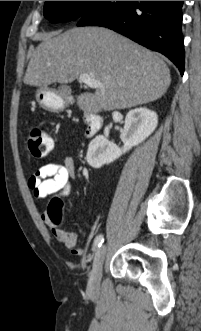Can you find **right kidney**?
Listing matches in <instances>:
<instances>
[{"mask_svg": "<svg viewBox=\"0 0 201 331\" xmlns=\"http://www.w3.org/2000/svg\"><path fill=\"white\" fill-rule=\"evenodd\" d=\"M158 124V117L154 111L146 108H137L129 111L125 118L124 128L120 139L123 147L120 148L103 135L96 136L89 144L86 160L93 168H100L118 159L132 147L142 143L149 137Z\"/></svg>", "mask_w": 201, "mask_h": 331, "instance_id": "obj_1", "label": "right kidney"}]
</instances>
